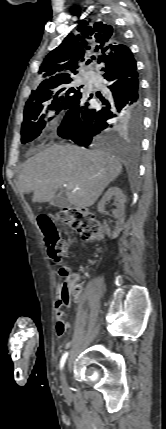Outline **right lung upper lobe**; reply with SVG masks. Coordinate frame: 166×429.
<instances>
[{
	"mask_svg": "<svg viewBox=\"0 0 166 429\" xmlns=\"http://www.w3.org/2000/svg\"><path fill=\"white\" fill-rule=\"evenodd\" d=\"M123 45L109 27L80 25L77 33L68 34L62 43L43 60L39 75L43 78L38 88L54 85L77 73L78 63L95 52L100 61L108 55L119 52Z\"/></svg>",
	"mask_w": 166,
	"mask_h": 429,
	"instance_id": "cb5924a9",
	"label": "right lung upper lobe"
}]
</instances>
